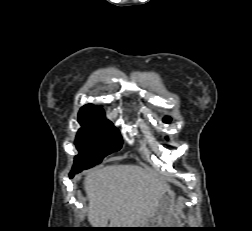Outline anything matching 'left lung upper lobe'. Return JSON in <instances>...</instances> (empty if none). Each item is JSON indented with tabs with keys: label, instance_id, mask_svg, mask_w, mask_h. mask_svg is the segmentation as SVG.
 <instances>
[{
	"label": "left lung upper lobe",
	"instance_id": "5c2ea615",
	"mask_svg": "<svg viewBox=\"0 0 252 231\" xmlns=\"http://www.w3.org/2000/svg\"><path fill=\"white\" fill-rule=\"evenodd\" d=\"M170 121H171V118H170V117H165V118H164V122H165V123H169Z\"/></svg>",
	"mask_w": 252,
	"mask_h": 231
}]
</instances>
